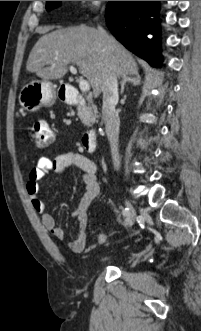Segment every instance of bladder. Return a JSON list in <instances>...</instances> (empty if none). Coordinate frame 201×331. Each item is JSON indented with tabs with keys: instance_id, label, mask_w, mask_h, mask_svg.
Here are the masks:
<instances>
[{
	"instance_id": "31cf9c89",
	"label": "bladder",
	"mask_w": 201,
	"mask_h": 331,
	"mask_svg": "<svg viewBox=\"0 0 201 331\" xmlns=\"http://www.w3.org/2000/svg\"><path fill=\"white\" fill-rule=\"evenodd\" d=\"M114 262L113 257H103L97 261L98 266H108L111 265Z\"/></svg>"
}]
</instances>
